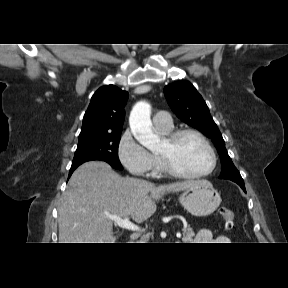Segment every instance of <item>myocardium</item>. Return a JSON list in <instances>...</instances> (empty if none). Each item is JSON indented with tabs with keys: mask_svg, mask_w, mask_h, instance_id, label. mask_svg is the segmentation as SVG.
Instances as JSON below:
<instances>
[{
	"mask_svg": "<svg viewBox=\"0 0 288 288\" xmlns=\"http://www.w3.org/2000/svg\"><path fill=\"white\" fill-rule=\"evenodd\" d=\"M187 135H192V136L198 138L205 145V147L208 149V151L211 155V159H212L211 167L207 171L202 172V173L189 174V173H186L183 170H181L175 164V162L173 161V159L170 156L158 154V158L161 162L163 170L166 173H168L174 177L183 178V179H201V178H204V177L211 175L217 167L218 158H217V154H216L214 147L212 146L210 141L201 132H199L195 129H190V128L179 129V130L170 132L166 136L165 140L167 141V143L171 147H174L183 137H185Z\"/></svg>",
	"mask_w": 288,
	"mask_h": 288,
	"instance_id": "f54148a6",
	"label": "myocardium"
}]
</instances>
